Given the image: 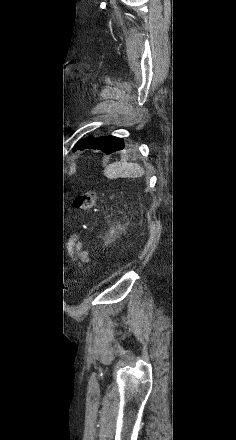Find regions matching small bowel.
Here are the masks:
<instances>
[{"mask_svg": "<svg viewBox=\"0 0 236 440\" xmlns=\"http://www.w3.org/2000/svg\"><path fill=\"white\" fill-rule=\"evenodd\" d=\"M70 251L71 254L77 258V265L79 267L87 263L90 259L88 251L80 247V237L78 234L72 236Z\"/></svg>", "mask_w": 236, "mask_h": 440, "instance_id": "obj_1", "label": "small bowel"}]
</instances>
